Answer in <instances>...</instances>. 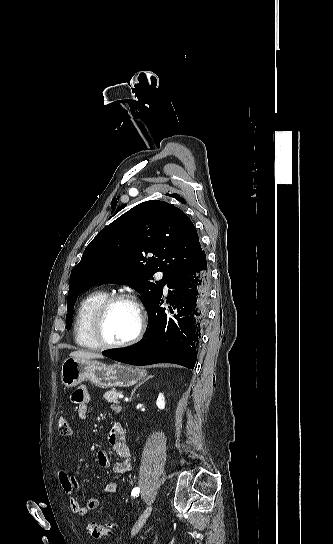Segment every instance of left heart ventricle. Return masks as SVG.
<instances>
[{
    "mask_svg": "<svg viewBox=\"0 0 333 544\" xmlns=\"http://www.w3.org/2000/svg\"><path fill=\"white\" fill-rule=\"evenodd\" d=\"M137 326L135 308L127 302H117L106 313L102 328L104 339L111 343L125 341L135 333Z\"/></svg>",
    "mask_w": 333,
    "mask_h": 544,
    "instance_id": "b2bd125f",
    "label": "left heart ventricle"
}]
</instances>
